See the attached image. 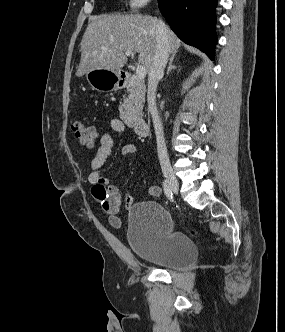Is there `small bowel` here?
<instances>
[{"instance_id": "obj_1", "label": "small bowel", "mask_w": 285, "mask_h": 332, "mask_svg": "<svg viewBox=\"0 0 285 332\" xmlns=\"http://www.w3.org/2000/svg\"><path fill=\"white\" fill-rule=\"evenodd\" d=\"M110 131L104 132L99 141L96 154L91 160L90 174L88 181L91 184V194L94 200L102 207V209L109 215L110 224L119 228L121 226V220L118 217V213L124 206L129 208L133 204V196L131 194H125L122 196L118 187L109 185V179L101 174V169L111 155L112 148L114 146V140L111 134L123 133L125 131V124L118 118H113L109 122ZM137 151V147L133 144L124 145L121 148L120 156L124 157L130 154H134ZM161 194V188L159 186H151L147 190L149 197H158Z\"/></svg>"}]
</instances>
